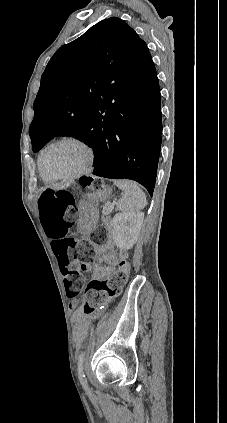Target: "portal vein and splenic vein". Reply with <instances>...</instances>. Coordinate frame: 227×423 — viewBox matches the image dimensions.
<instances>
[{
  "label": "portal vein and splenic vein",
  "mask_w": 227,
  "mask_h": 423,
  "mask_svg": "<svg viewBox=\"0 0 227 423\" xmlns=\"http://www.w3.org/2000/svg\"><path fill=\"white\" fill-rule=\"evenodd\" d=\"M114 205H116V202H112L111 206H108L109 210H113Z\"/></svg>",
  "instance_id": "18ae733b"
}]
</instances>
